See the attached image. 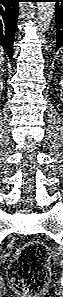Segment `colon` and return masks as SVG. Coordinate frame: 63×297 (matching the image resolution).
<instances>
[{"mask_svg": "<svg viewBox=\"0 0 63 297\" xmlns=\"http://www.w3.org/2000/svg\"><path fill=\"white\" fill-rule=\"evenodd\" d=\"M49 277V255L44 244L29 241L17 250L9 269V280L17 293L36 297L47 287Z\"/></svg>", "mask_w": 63, "mask_h": 297, "instance_id": "obj_1", "label": "colon"}]
</instances>
